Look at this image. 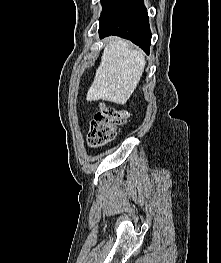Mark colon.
<instances>
[{"label": "colon", "mask_w": 221, "mask_h": 263, "mask_svg": "<svg viewBox=\"0 0 221 263\" xmlns=\"http://www.w3.org/2000/svg\"><path fill=\"white\" fill-rule=\"evenodd\" d=\"M128 118V113L113 106L102 105L90 123L88 134L89 145L92 148L102 147L116 136V130Z\"/></svg>", "instance_id": "obj_1"}]
</instances>
